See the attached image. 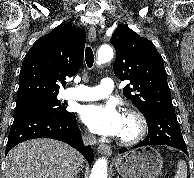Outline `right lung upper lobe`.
Listing matches in <instances>:
<instances>
[{
    "label": "right lung upper lobe",
    "instance_id": "1",
    "mask_svg": "<svg viewBox=\"0 0 194 178\" xmlns=\"http://www.w3.org/2000/svg\"><path fill=\"white\" fill-rule=\"evenodd\" d=\"M85 42V31L71 24H61L38 39L24 58L17 102L57 96L66 77L82 66Z\"/></svg>",
    "mask_w": 194,
    "mask_h": 178
}]
</instances>
